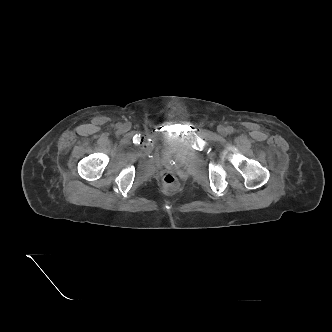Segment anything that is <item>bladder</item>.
Returning a JSON list of instances; mask_svg holds the SVG:
<instances>
[{
  "instance_id": "1",
  "label": "bladder",
  "mask_w": 332,
  "mask_h": 332,
  "mask_svg": "<svg viewBox=\"0 0 332 332\" xmlns=\"http://www.w3.org/2000/svg\"><path fill=\"white\" fill-rule=\"evenodd\" d=\"M186 143L181 138L168 139L163 144V154L166 158L180 161L185 152Z\"/></svg>"
}]
</instances>
